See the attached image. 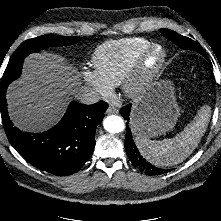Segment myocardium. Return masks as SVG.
Instances as JSON below:
<instances>
[{
	"label": "myocardium",
	"instance_id": "obj_1",
	"mask_svg": "<svg viewBox=\"0 0 221 221\" xmlns=\"http://www.w3.org/2000/svg\"><path fill=\"white\" fill-rule=\"evenodd\" d=\"M156 55V61L149 65L150 58ZM167 59L166 49L157 43H151L137 57L127 76L122 82L124 94L131 98H139L159 77Z\"/></svg>",
	"mask_w": 221,
	"mask_h": 221
}]
</instances>
